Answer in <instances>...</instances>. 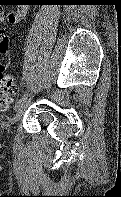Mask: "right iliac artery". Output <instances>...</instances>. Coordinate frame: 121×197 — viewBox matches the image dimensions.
I'll use <instances>...</instances> for the list:
<instances>
[{
  "label": "right iliac artery",
  "instance_id": "1",
  "mask_svg": "<svg viewBox=\"0 0 121 197\" xmlns=\"http://www.w3.org/2000/svg\"><path fill=\"white\" fill-rule=\"evenodd\" d=\"M25 99H26V94H24L23 97L16 102L14 109L17 110L21 106V104L25 101Z\"/></svg>",
  "mask_w": 121,
  "mask_h": 197
}]
</instances>
